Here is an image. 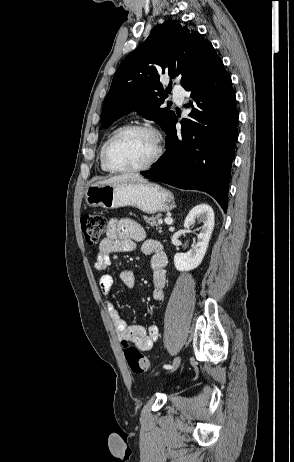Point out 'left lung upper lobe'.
Returning a JSON list of instances; mask_svg holds the SVG:
<instances>
[{"label":"left lung upper lobe","mask_w":294,"mask_h":462,"mask_svg":"<svg viewBox=\"0 0 294 462\" xmlns=\"http://www.w3.org/2000/svg\"><path fill=\"white\" fill-rule=\"evenodd\" d=\"M217 58L211 43L198 32L176 21L157 25L117 69L104 100L102 126L108 128L122 115L137 111L167 131L175 113L169 108H160L168 96L160 76L179 78L184 87ZM169 88L171 83L167 92Z\"/></svg>","instance_id":"left-lung-upper-lobe-1"}]
</instances>
